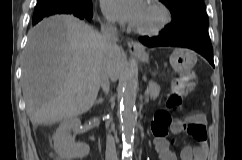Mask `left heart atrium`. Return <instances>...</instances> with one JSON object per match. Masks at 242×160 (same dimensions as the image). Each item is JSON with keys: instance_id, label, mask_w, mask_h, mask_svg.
Here are the masks:
<instances>
[{"instance_id": "39dd6f15", "label": "left heart atrium", "mask_w": 242, "mask_h": 160, "mask_svg": "<svg viewBox=\"0 0 242 160\" xmlns=\"http://www.w3.org/2000/svg\"><path fill=\"white\" fill-rule=\"evenodd\" d=\"M101 4L110 19L136 26L145 0H102Z\"/></svg>"}]
</instances>
